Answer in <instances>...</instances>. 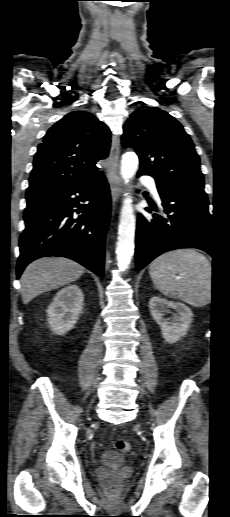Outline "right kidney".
Segmentation results:
<instances>
[{"label": "right kidney", "mask_w": 230, "mask_h": 517, "mask_svg": "<svg viewBox=\"0 0 230 517\" xmlns=\"http://www.w3.org/2000/svg\"><path fill=\"white\" fill-rule=\"evenodd\" d=\"M83 309V292L77 285L58 291L47 309L50 329L58 335L71 330Z\"/></svg>", "instance_id": "obj_1"}]
</instances>
